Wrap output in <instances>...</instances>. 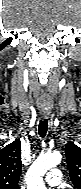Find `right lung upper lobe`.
<instances>
[{
  "mask_svg": "<svg viewBox=\"0 0 81 189\" xmlns=\"http://www.w3.org/2000/svg\"><path fill=\"white\" fill-rule=\"evenodd\" d=\"M21 173V141L0 150V189H18Z\"/></svg>",
  "mask_w": 81,
  "mask_h": 189,
  "instance_id": "right-lung-upper-lobe-1",
  "label": "right lung upper lobe"
}]
</instances>
